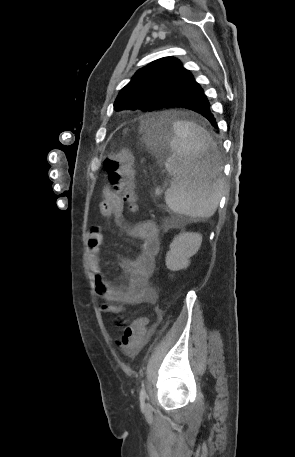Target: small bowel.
I'll return each instance as SVG.
<instances>
[{"instance_id":"obj_1","label":"small bowel","mask_w":295,"mask_h":457,"mask_svg":"<svg viewBox=\"0 0 295 457\" xmlns=\"http://www.w3.org/2000/svg\"><path fill=\"white\" fill-rule=\"evenodd\" d=\"M103 197L100 203L101 216L121 221L123 202L111 186L104 188ZM127 231L141 241V248L133 259L120 258V265L127 275V282L123 286L114 285L103 276L100 254L104 238L101 228L94 226L88 231L89 267L94 277L95 291L104 300L101 306L104 313L125 314V305L154 303L157 299L156 291L149 286V278L160 251L158 228L154 222L147 220L128 227ZM135 352L136 349L127 353L133 355Z\"/></svg>"}]
</instances>
